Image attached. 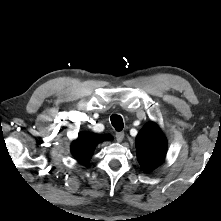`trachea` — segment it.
<instances>
[{"label":"trachea","mask_w":221,"mask_h":221,"mask_svg":"<svg viewBox=\"0 0 221 221\" xmlns=\"http://www.w3.org/2000/svg\"><path fill=\"white\" fill-rule=\"evenodd\" d=\"M110 120H111V124L113 125L116 131H121L123 129L124 123L120 115L114 114L110 117Z\"/></svg>","instance_id":"trachea-1"}]
</instances>
